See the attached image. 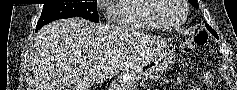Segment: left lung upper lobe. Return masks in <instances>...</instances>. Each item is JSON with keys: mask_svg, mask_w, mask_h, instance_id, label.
<instances>
[{"mask_svg": "<svg viewBox=\"0 0 237 90\" xmlns=\"http://www.w3.org/2000/svg\"><path fill=\"white\" fill-rule=\"evenodd\" d=\"M189 2L196 8H198V3H197V0H189ZM206 27L207 29L212 33V35H214L217 39H218V36H217V33L209 26L206 24Z\"/></svg>", "mask_w": 237, "mask_h": 90, "instance_id": "left-lung-upper-lobe-1", "label": "left lung upper lobe"}]
</instances>
